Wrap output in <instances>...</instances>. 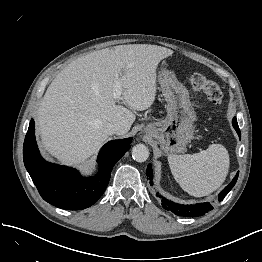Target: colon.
Masks as SVG:
<instances>
[{
    "label": "colon",
    "instance_id": "1",
    "mask_svg": "<svg viewBox=\"0 0 262 262\" xmlns=\"http://www.w3.org/2000/svg\"><path fill=\"white\" fill-rule=\"evenodd\" d=\"M189 82L193 88L202 90L212 105L218 106L221 103L223 98L221 88L215 82L208 80L205 75L194 72L189 76Z\"/></svg>",
    "mask_w": 262,
    "mask_h": 262
}]
</instances>
